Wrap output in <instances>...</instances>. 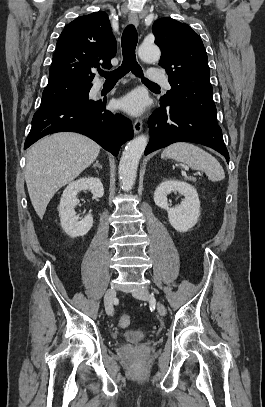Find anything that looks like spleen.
Returning <instances> with one entry per match:
<instances>
[{
  "label": "spleen",
  "instance_id": "3e777b00",
  "mask_svg": "<svg viewBox=\"0 0 265 407\" xmlns=\"http://www.w3.org/2000/svg\"><path fill=\"white\" fill-rule=\"evenodd\" d=\"M161 157L172 158L186 163L192 169L203 171L211 181H221L225 178V172L214 156L187 142H177L168 146L163 150Z\"/></svg>",
  "mask_w": 265,
  "mask_h": 407
}]
</instances>
